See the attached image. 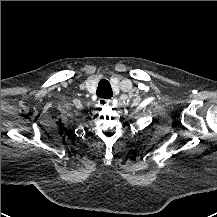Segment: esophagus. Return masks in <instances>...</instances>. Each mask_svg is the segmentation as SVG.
Segmentation results:
<instances>
[{
  "mask_svg": "<svg viewBox=\"0 0 217 217\" xmlns=\"http://www.w3.org/2000/svg\"><path fill=\"white\" fill-rule=\"evenodd\" d=\"M112 101L110 99H99L98 103L102 104V105H108L110 104Z\"/></svg>",
  "mask_w": 217,
  "mask_h": 217,
  "instance_id": "obj_1",
  "label": "esophagus"
}]
</instances>
